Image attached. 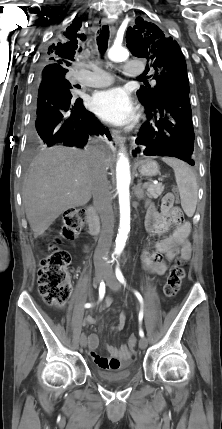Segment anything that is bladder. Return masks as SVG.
Listing matches in <instances>:
<instances>
[{"label":"bladder","mask_w":222,"mask_h":429,"mask_svg":"<svg viewBox=\"0 0 222 429\" xmlns=\"http://www.w3.org/2000/svg\"><path fill=\"white\" fill-rule=\"evenodd\" d=\"M96 377L106 383H123L131 379L133 375L132 368H126L118 372H106L101 369L95 370Z\"/></svg>","instance_id":"31cf9c89"}]
</instances>
